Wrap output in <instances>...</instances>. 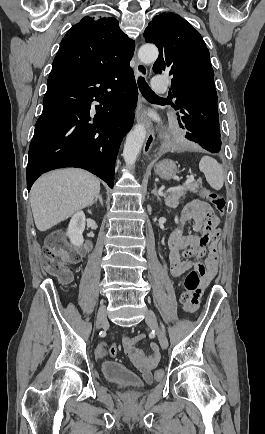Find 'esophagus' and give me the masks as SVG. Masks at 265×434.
Returning a JSON list of instances; mask_svg holds the SVG:
<instances>
[{
    "mask_svg": "<svg viewBox=\"0 0 265 434\" xmlns=\"http://www.w3.org/2000/svg\"><path fill=\"white\" fill-rule=\"evenodd\" d=\"M134 61H135L134 71L136 76L146 77L148 75L147 67L143 63L139 62L136 54L134 55ZM135 116H136V120L142 123L147 130V137L143 147V153L146 155L148 154V152H150V149L155 139V134H154L153 124L151 120L148 119V117H146V115L144 114V106L141 97L138 98Z\"/></svg>",
    "mask_w": 265,
    "mask_h": 434,
    "instance_id": "obj_1",
    "label": "esophagus"
}]
</instances>
